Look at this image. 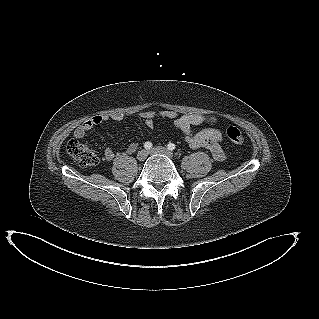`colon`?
Returning <instances> with one entry per match:
<instances>
[{
	"label": "colon",
	"mask_w": 319,
	"mask_h": 319,
	"mask_svg": "<svg viewBox=\"0 0 319 319\" xmlns=\"http://www.w3.org/2000/svg\"><path fill=\"white\" fill-rule=\"evenodd\" d=\"M226 136L233 144L242 145L244 143L243 134L235 127H228ZM66 151L80 166L88 167L97 164V155L85 143H81L77 140H70L66 145Z\"/></svg>",
	"instance_id": "5ec220e1"
}]
</instances>
